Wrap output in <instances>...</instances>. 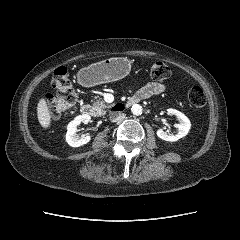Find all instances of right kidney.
<instances>
[{
    "mask_svg": "<svg viewBox=\"0 0 240 240\" xmlns=\"http://www.w3.org/2000/svg\"><path fill=\"white\" fill-rule=\"evenodd\" d=\"M91 117L88 114H82L75 117L67 126L66 142L72 147H80L87 144L90 140V136L79 137L77 132V127L81 124H88Z\"/></svg>",
    "mask_w": 240,
    "mask_h": 240,
    "instance_id": "obj_1",
    "label": "right kidney"
}]
</instances>
